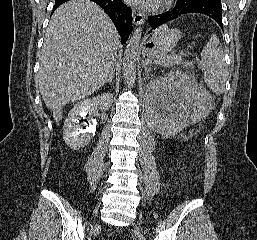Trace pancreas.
<instances>
[{"mask_svg": "<svg viewBox=\"0 0 257 240\" xmlns=\"http://www.w3.org/2000/svg\"><path fill=\"white\" fill-rule=\"evenodd\" d=\"M170 56H174V55H170ZM169 57V56H168ZM186 67H191L192 66V63H186L185 64Z\"/></svg>", "mask_w": 257, "mask_h": 240, "instance_id": "cf45deb5", "label": "pancreas"}]
</instances>
